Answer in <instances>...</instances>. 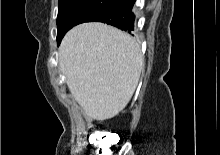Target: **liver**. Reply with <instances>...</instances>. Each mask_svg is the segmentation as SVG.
<instances>
[{
  "label": "liver",
  "mask_w": 220,
  "mask_h": 155,
  "mask_svg": "<svg viewBox=\"0 0 220 155\" xmlns=\"http://www.w3.org/2000/svg\"><path fill=\"white\" fill-rule=\"evenodd\" d=\"M59 67L85 116L101 120L116 116L127 106L144 59L129 34L92 22L67 32L59 47Z\"/></svg>",
  "instance_id": "obj_1"
}]
</instances>
